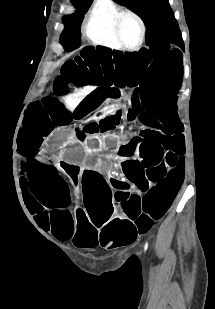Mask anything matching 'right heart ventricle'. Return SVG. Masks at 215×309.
<instances>
[{"label":"right heart ventricle","mask_w":215,"mask_h":309,"mask_svg":"<svg viewBox=\"0 0 215 309\" xmlns=\"http://www.w3.org/2000/svg\"><path fill=\"white\" fill-rule=\"evenodd\" d=\"M116 10L99 9L98 14H93L92 19H87V34L89 41L98 46L106 48H119L115 43L116 24L111 19L110 13Z\"/></svg>","instance_id":"1"}]
</instances>
